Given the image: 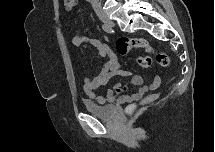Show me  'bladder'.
<instances>
[{
	"mask_svg": "<svg viewBox=\"0 0 215 152\" xmlns=\"http://www.w3.org/2000/svg\"><path fill=\"white\" fill-rule=\"evenodd\" d=\"M83 105L88 112L105 119L111 118L116 111L114 105H101L88 98L83 100Z\"/></svg>",
	"mask_w": 215,
	"mask_h": 152,
	"instance_id": "31cf9c89",
	"label": "bladder"
}]
</instances>
